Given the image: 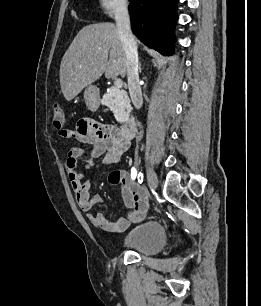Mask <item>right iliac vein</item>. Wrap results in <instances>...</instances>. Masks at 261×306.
<instances>
[{
  "label": "right iliac vein",
  "instance_id": "right-iliac-vein-1",
  "mask_svg": "<svg viewBox=\"0 0 261 306\" xmlns=\"http://www.w3.org/2000/svg\"><path fill=\"white\" fill-rule=\"evenodd\" d=\"M147 181L151 188L156 189L158 185V180L155 172L152 168L147 167Z\"/></svg>",
  "mask_w": 261,
  "mask_h": 306
}]
</instances>
